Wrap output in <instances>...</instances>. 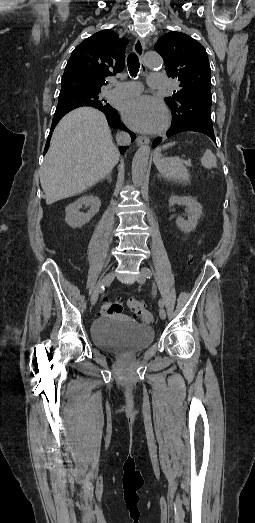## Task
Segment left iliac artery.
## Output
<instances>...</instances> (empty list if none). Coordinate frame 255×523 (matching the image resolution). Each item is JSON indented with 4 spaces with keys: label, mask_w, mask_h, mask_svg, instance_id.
Segmentation results:
<instances>
[{
    "label": "left iliac artery",
    "mask_w": 255,
    "mask_h": 523,
    "mask_svg": "<svg viewBox=\"0 0 255 523\" xmlns=\"http://www.w3.org/2000/svg\"><path fill=\"white\" fill-rule=\"evenodd\" d=\"M142 271H143V273H144L146 278H149V279L151 278L152 272H151V270L149 268L145 267V268L142 269ZM158 304H159L160 307H163L164 306V301L162 299H159Z\"/></svg>",
    "instance_id": "left-iliac-artery-1"
}]
</instances>
